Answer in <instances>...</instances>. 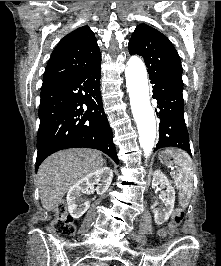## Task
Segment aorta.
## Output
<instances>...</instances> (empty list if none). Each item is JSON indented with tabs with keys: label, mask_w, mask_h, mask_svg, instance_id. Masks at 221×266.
<instances>
[{
	"label": "aorta",
	"mask_w": 221,
	"mask_h": 266,
	"mask_svg": "<svg viewBox=\"0 0 221 266\" xmlns=\"http://www.w3.org/2000/svg\"><path fill=\"white\" fill-rule=\"evenodd\" d=\"M125 74L131 110L138 127L139 143L144 155L149 157L156 138V122L150 103L147 71L143 61L137 56L130 57Z\"/></svg>",
	"instance_id": "1"
}]
</instances>
